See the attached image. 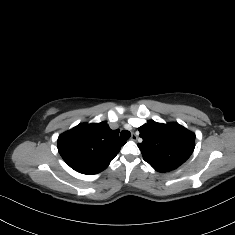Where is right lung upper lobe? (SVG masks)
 <instances>
[{
  "mask_svg": "<svg viewBox=\"0 0 235 235\" xmlns=\"http://www.w3.org/2000/svg\"><path fill=\"white\" fill-rule=\"evenodd\" d=\"M119 130H111L106 121L81 123L58 138V151L75 171L93 175L105 170L126 143Z\"/></svg>",
  "mask_w": 235,
  "mask_h": 235,
  "instance_id": "obj_1",
  "label": "right lung upper lobe"
}]
</instances>
